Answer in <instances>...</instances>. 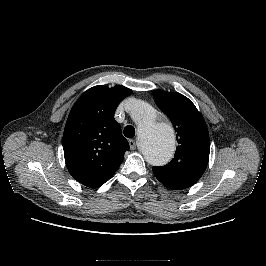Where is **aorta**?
<instances>
[{
    "label": "aorta",
    "mask_w": 266,
    "mask_h": 266,
    "mask_svg": "<svg viewBox=\"0 0 266 266\" xmlns=\"http://www.w3.org/2000/svg\"><path fill=\"white\" fill-rule=\"evenodd\" d=\"M131 117L138 127L140 149L152 165L166 164L175 151V137L172 126L160 121L157 111L148 103L134 100Z\"/></svg>",
    "instance_id": "obj_1"
}]
</instances>
